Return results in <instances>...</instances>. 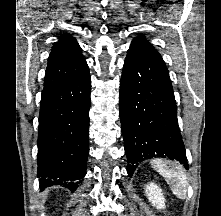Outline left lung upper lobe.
<instances>
[{
	"mask_svg": "<svg viewBox=\"0 0 221 216\" xmlns=\"http://www.w3.org/2000/svg\"><path fill=\"white\" fill-rule=\"evenodd\" d=\"M133 42H140V43H144V44H149L151 45V43H149V41L145 38L144 35H140L138 37H136ZM152 46V45H151Z\"/></svg>",
	"mask_w": 221,
	"mask_h": 216,
	"instance_id": "obj_1",
	"label": "left lung upper lobe"
}]
</instances>
